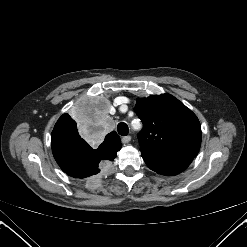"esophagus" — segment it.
I'll return each instance as SVG.
<instances>
[{
    "instance_id": "obj_1",
    "label": "esophagus",
    "mask_w": 247,
    "mask_h": 247,
    "mask_svg": "<svg viewBox=\"0 0 247 247\" xmlns=\"http://www.w3.org/2000/svg\"><path fill=\"white\" fill-rule=\"evenodd\" d=\"M121 141L124 144L129 143L131 141V136L122 137Z\"/></svg>"
}]
</instances>
